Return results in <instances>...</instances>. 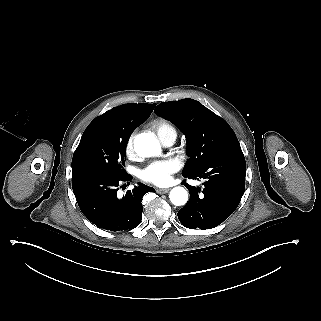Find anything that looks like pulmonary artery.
<instances>
[{
    "label": "pulmonary artery",
    "mask_w": 321,
    "mask_h": 321,
    "mask_svg": "<svg viewBox=\"0 0 321 321\" xmlns=\"http://www.w3.org/2000/svg\"><path fill=\"white\" fill-rule=\"evenodd\" d=\"M176 138H177V133L171 132L161 137V142L164 146H171L175 143Z\"/></svg>",
    "instance_id": "e3ab8cb5"
}]
</instances>
